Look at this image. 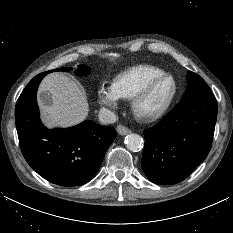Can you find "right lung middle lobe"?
I'll list each match as a JSON object with an SVG mask.
<instances>
[{
	"label": "right lung middle lobe",
	"mask_w": 233,
	"mask_h": 233,
	"mask_svg": "<svg viewBox=\"0 0 233 233\" xmlns=\"http://www.w3.org/2000/svg\"><path fill=\"white\" fill-rule=\"evenodd\" d=\"M79 67L80 68H78V69L75 70V74L76 75H78V76H84V75H88L90 73V68L88 66H86V65H80ZM70 70H72V67L58 68V69L51 70L49 72H53V71L67 72V71H70Z\"/></svg>",
	"instance_id": "1"
}]
</instances>
